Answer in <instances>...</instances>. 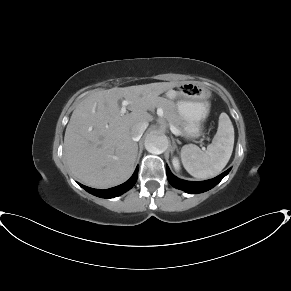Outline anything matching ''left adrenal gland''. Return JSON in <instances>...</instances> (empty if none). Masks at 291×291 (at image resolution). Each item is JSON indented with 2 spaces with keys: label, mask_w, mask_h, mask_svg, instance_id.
I'll list each match as a JSON object with an SVG mask.
<instances>
[{
  "label": "left adrenal gland",
  "mask_w": 291,
  "mask_h": 291,
  "mask_svg": "<svg viewBox=\"0 0 291 291\" xmlns=\"http://www.w3.org/2000/svg\"><path fill=\"white\" fill-rule=\"evenodd\" d=\"M172 141H173V148H174V149H177V145H176V143H175V140L172 139Z\"/></svg>",
  "instance_id": "a2214340"
}]
</instances>
